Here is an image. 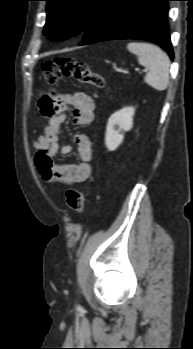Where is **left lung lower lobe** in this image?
Returning <instances> with one entry per match:
<instances>
[{
	"instance_id": "left-lung-lower-lobe-1",
	"label": "left lung lower lobe",
	"mask_w": 193,
	"mask_h": 349,
	"mask_svg": "<svg viewBox=\"0 0 193 349\" xmlns=\"http://www.w3.org/2000/svg\"><path fill=\"white\" fill-rule=\"evenodd\" d=\"M170 0H107L84 31L79 45L105 40L141 39L160 45L173 59L167 23Z\"/></svg>"
}]
</instances>
